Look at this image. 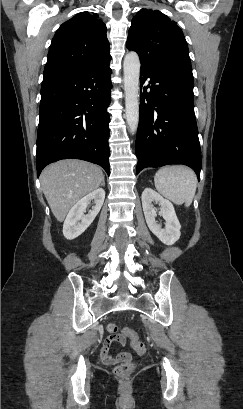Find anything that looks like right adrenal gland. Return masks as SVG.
<instances>
[{
    "label": "right adrenal gland",
    "instance_id": "obj_1",
    "mask_svg": "<svg viewBox=\"0 0 243 409\" xmlns=\"http://www.w3.org/2000/svg\"><path fill=\"white\" fill-rule=\"evenodd\" d=\"M101 185H102V186H105V180H104V179L102 180Z\"/></svg>",
    "mask_w": 243,
    "mask_h": 409
}]
</instances>
